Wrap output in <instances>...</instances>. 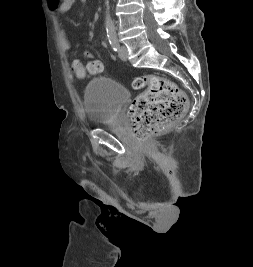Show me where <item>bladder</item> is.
I'll list each match as a JSON object with an SVG mask.
<instances>
[{"instance_id": "1", "label": "bladder", "mask_w": 253, "mask_h": 267, "mask_svg": "<svg viewBox=\"0 0 253 267\" xmlns=\"http://www.w3.org/2000/svg\"><path fill=\"white\" fill-rule=\"evenodd\" d=\"M127 98L128 91L118 82L106 77L93 78L83 91L87 121L94 126L112 123Z\"/></svg>"}]
</instances>
